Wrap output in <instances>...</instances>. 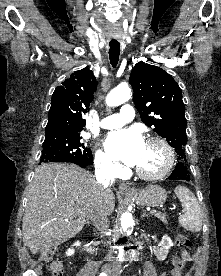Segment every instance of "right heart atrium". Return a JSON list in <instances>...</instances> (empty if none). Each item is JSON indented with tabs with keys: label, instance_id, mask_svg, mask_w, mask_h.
<instances>
[{
	"label": "right heart atrium",
	"instance_id": "1",
	"mask_svg": "<svg viewBox=\"0 0 221 276\" xmlns=\"http://www.w3.org/2000/svg\"><path fill=\"white\" fill-rule=\"evenodd\" d=\"M94 162L98 171L106 176L116 177L122 172L120 164L101 150L96 151Z\"/></svg>",
	"mask_w": 221,
	"mask_h": 276
}]
</instances>
